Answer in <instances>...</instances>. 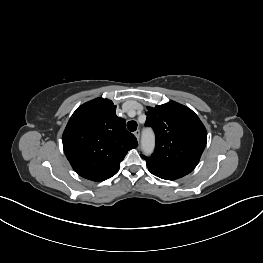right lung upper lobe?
<instances>
[{
    "mask_svg": "<svg viewBox=\"0 0 263 263\" xmlns=\"http://www.w3.org/2000/svg\"><path fill=\"white\" fill-rule=\"evenodd\" d=\"M111 100L81 105L69 119L62 140L73 169L83 178L104 181L115 175L127 152L138 146Z\"/></svg>",
    "mask_w": 263,
    "mask_h": 263,
    "instance_id": "obj_1",
    "label": "right lung upper lobe"
}]
</instances>
